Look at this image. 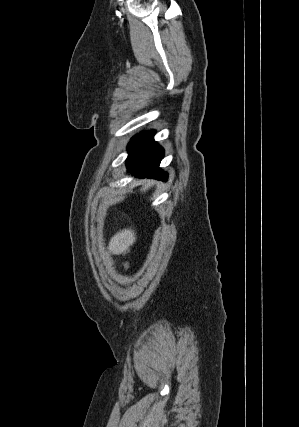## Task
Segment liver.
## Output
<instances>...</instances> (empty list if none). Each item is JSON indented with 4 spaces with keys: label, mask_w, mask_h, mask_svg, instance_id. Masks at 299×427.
Here are the masks:
<instances>
[{
    "label": "liver",
    "mask_w": 299,
    "mask_h": 427,
    "mask_svg": "<svg viewBox=\"0 0 299 427\" xmlns=\"http://www.w3.org/2000/svg\"><path fill=\"white\" fill-rule=\"evenodd\" d=\"M152 186V183H145L141 191L145 192ZM136 241V234L130 229H124L116 233L110 240L108 250L114 255H119L126 252L130 246H132Z\"/></svg>",
    "instance_id": "liver-1"
}]
</instances>
